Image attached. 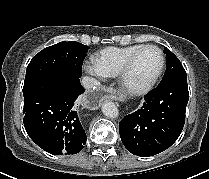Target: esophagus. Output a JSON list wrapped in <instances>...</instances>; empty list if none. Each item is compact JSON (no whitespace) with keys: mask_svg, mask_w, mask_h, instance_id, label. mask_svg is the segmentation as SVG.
Listing matches in <instances>:
<instances>
[{"mask_svg":"<svg viewBox=\"0 0 209 179\" xmlns=\"http://www.w3.org/2000/svg\"><path fill=\"white\" fill-rule=\"evenodd\" d=\"M118 94V90L115 87H108L107 89L97 88L84 96V103L88 107H95L97 104L105 102L107 99L111 101L115 100Z\"/></svg>","mask_w":209,"mask_h":179,"instance_id":"esophagus-1","label":"esophagus"}]
</instances>
